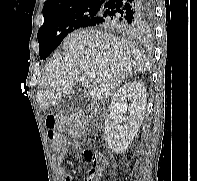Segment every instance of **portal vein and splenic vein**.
Listing matches in <instances>:
<instances>
[{"instance_id":"18ae733b","label":"portal vein and splenic vein","mask_w":197,"mask_h":181,"mask_svg":"<svg viewBox=\"0 0 197 181\" xmlns=\"http://www.w3.org/2000/svg\"><path fill=\"white\" fill-rule=\"evenodd\" d=\"M85 75H86L87 77H89L90 79H93V78H95V77L98 75V73L95 72V71H86V72H85Z\"/></svg>"}]
</instances>
